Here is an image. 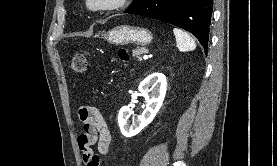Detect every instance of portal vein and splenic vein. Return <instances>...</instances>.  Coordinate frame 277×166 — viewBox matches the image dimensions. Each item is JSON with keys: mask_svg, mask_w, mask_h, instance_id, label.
Here are the masks:
<instances>
[{"mask_svg": "<svg viewBox=\"0 0 277 166\" xmlns=\"http://www.w3.org/2000/svg\"><path fill=\"white\" fill-rule=\"evenodd\" d=\"M143 59H148V56H147V55H144V56H143Z\"/></svg>", "mask_w": 277, "mask_h": 166, "instance_id": "1", "label": "portal vein and splenic vein"}]
</instances>
